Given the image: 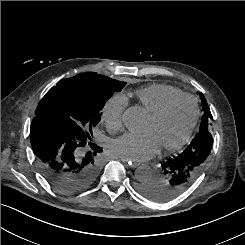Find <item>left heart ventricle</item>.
<instances>
[{
	"instance_id": "obj_1",
	"label": "left heart ventricle",
	"mask_w": 245,
	"mask_h": 245,
	"mask_svg": "<svg viewBox=\"0 0 245 245\" xmlns=\"http://www.w3.org/2000/svg\"><path fill=\"white\" fill-rule=\"evenodd\" d=\"M194 110L191 100H182L157 120L147 117L141 131L151 134L159 147L172 145L186 133L192 122Z\"/></svg>"
}]
</instances>
